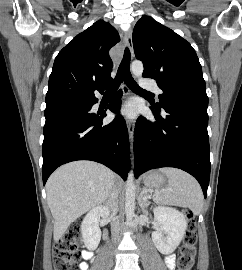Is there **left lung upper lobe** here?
Wrapping results in <instances>:
<instances>
[{
    "label": "left lung upper lobe",
    "instance_id": "obj_1",
    "mask_svg": "<svg viewBox=\"0 0 242 270\" xmlns=\"http://www.w3.org/2000/svg\"><path fill=\"white\" fill-rule=\"evenodd\" d=\"M133 46L136 58L144 64L143 77L155 79L163 91L157 110L186 104L208 106L202 68L190 43L144 16L134 27Z\"/></svg>",
    "mask_w": 242,
    "mask_h": 270
}]
</instances>
